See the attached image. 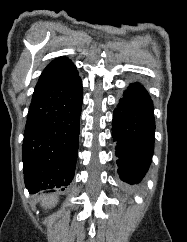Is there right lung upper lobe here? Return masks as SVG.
Segmentation results:
<instances>
[{
	"mask_svg": "<svg viewBox=\"0 0 187 242\" xmlns=\"http://www.w3.org/2000/svg\"><path fill=\"white\" fill-rule=\"evenodd\" d=\"M78 73L75 65L67 57H59L44 69L35 89H40L64 82Z\"/></svg>",
	"mask_w": 187,
	"mask_h": 242,
	"instance_id": "right-lung-upper-lobe-1",
	"label": "right lung upper lobe"
}]
</instances>
